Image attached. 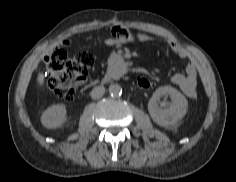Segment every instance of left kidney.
<instances>
[{
	"instance_id": "obj_1",
	"label": "left kidney",
	"mask_w": 236,
	"mask_h": 182,
	"mask_svg": "<svg viewBox=\"0 0 236 182\" xmlns=\"http://www.w3.org/2000/svg\"><path fill=\"white\" fill-rule=\"evenodd\" d=\"M165 95L170 96L171 103L160 102V98ZM159 104L164 108H161ZM187 107L188 102L185 96L171 86L156 89L148 103V111L152 120L163 127L177 124L185 116Z\"/></svg>"
}]
</instances>
